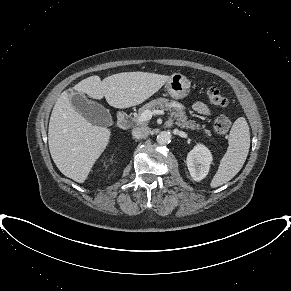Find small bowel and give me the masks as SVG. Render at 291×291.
Here are the masks:
<instances>
[{
    "label": "small bowel",
    "mask_w": 291,
    "mask_h": 291,
    "mask_svg": "<svg viewBox=\"0 0 291 291\" xmlns=\"http://www.w3.org/2000/svg\"><path fill=\"white\" fill-rule=\"evenodd\" d=\"M193 109H194L197 113H199V114H201V115H204V116H208V115H210V113H211V111H210V109L208 108V106H207L205 103L200 102V101L194 103V105H193Z\"/></svg>",
    "instance_id": "small-bowel-1"
}]
</instances>
